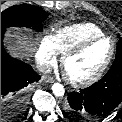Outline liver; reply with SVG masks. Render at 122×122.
<instances>
[{
    "label": "liver",
    "mask_w": 122,
    "mask_h": 122,
    "mask_svg": "<svg viewBox=\"0 0 122 122\" xmlns=\"http://www.w3.org/2000/svg\"><path fill=\"white\" fill-rule=\"evenodd\" d=\"M10 51L21 58H28L35 51L31 36L19 30H11L8 35Z\"/></svg>",
    "instance_id": "6515ba94"
}]
</instances>
